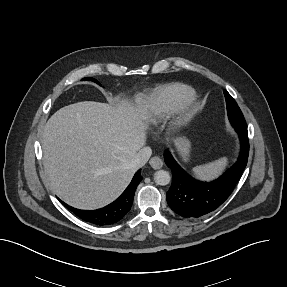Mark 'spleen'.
I'll list each match as a JSON object with an SVG mask.
<instances>
[{
  "label": "spleen",
  "instance_id": "spleen-1",
  "mask_svg": "<svg viewBox=\"0 0 287 287\" xmlns=\"http://www.w3.org/2000/svg\"><path fill=\"white\" fill-rule=\"evenodd\" d=\"M228 159L226 157L220 158L213 162L196 166L193 168V172L197 178L202 180H211L219 176L226 168Z\"/></svg>",
  "mask_w": 287,
  "mask_h": 287
}]
</instances>
